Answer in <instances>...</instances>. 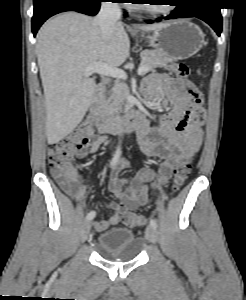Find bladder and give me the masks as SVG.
Segmentation results:
<instances>
[{
  "label": "bladder",
  "instance_id": "obj_1",
  "mask_svg": "<svg viewBox=\"0 0 246 300\" xmlns=\"http://www.w3.org/2000/svg\"><path fill=\"white\" fill-rule=\"evenodd\" d=\"M141 247L142 244L133 231L125 227L104 230L97 239V249L102 255L120 261L136 259Z\"/></svg>",
  "mask_w": 246,
  "mask_h": 300
}]
</instances>
